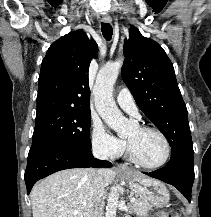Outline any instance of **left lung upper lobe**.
Returning <instances> with one entry per match:
<instances>
[{"label": "left lung upper lobe", "instance_id": "5c2ea615", "mask_svg": "<svg viewBox=\"0 0 211 217\" xmlns=\"http://www.w3.org/2000/svg\"><path fill=\"white\" fill-rule=\"evenodd\" d=\"M124 55L123 80L142 112L167 138L171 159H194L186 105L165 51L132 26Z\"/></svg>", "mask_w": 211, "mask_h": 217}]
</instances>
